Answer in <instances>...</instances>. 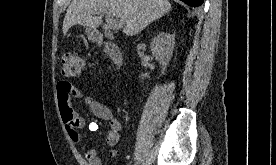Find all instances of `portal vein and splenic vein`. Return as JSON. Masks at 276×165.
Listing matches in <instances>:
<instances>
[{"instance_id": "1", "label": "portal vein and splenic vein", "mask_w": 276, "mask_h": 165, "mask_svg": "<svg viewBox=\"0 0 276 165\" xmlns=\"http://www.w3.org/2000/svg\"><path fill=\"white\" fill-rule=\"evenodd\" d=\"M96 14H98V13H96ZM100 14H101V16L105 15L108 27L113 28V29H118V28L122 27V22L118 19H115L111 15L110 12L104 10Z\"/></svg>"}]
</instances>
